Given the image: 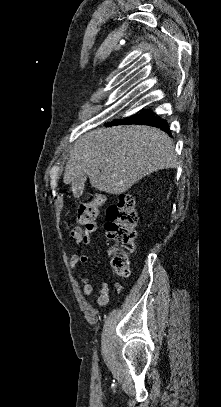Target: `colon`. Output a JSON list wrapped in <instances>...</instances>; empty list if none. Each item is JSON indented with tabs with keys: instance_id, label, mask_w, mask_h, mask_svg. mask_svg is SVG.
<instances>
[{
	"instance_id": "1",
	"label": "colon",
	"mask_w": 221,
	"mask_h": 407,
	"mask_svg": "<svg viewBox=\"0 0 221 407\" xmlns=\"http://www.w3.org/2000/svg\"><path fill=\"white\" fill-rule=\"evenodd\" d=\"M104 203L105 195L94 192L88 202L77 208L76 224L70 229L71 238L76 241L91 238L97 229L99 207ZM107 218L106 234L115 243L109 251L112 269L118 277L126 278L130 274V255L136 249L138 217L134 197L119 195L116 204L109 208Z\"/></svg>"
}]
</instances>
